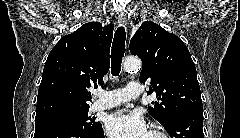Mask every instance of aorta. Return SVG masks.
<instances>
[{
    "label": "aorta",
    "instance_id": "obj_1",
    "mask_svg": "<svg viewBox=\"0 0 240 138\" xmlns=\"http://www.w3.org/2000/svg\"><path fill=\"white\" fill-rule=\"evenodd\" d=\"M141 67V61L138 58L128 57L124 61L125 71H136Z\"/></svg>",
    "mask_w": 240,
    "mask_h": 138
}]
</instances>
